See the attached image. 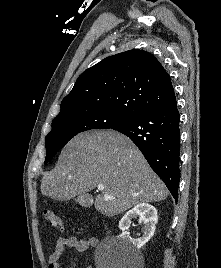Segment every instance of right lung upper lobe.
<instances>
[{
  "instance_id": "obj_1",
  "label": "right lung upper lobe",
  "mask_w": 221,
  "mask_h": 268,
  "mask_svg": "<svg viewBox=\"0 0 221 268\" xmlns=\"http://www.w3.org/2000/svg\"><path fill=\"white\" fill-rule=\"evenodd\" d=\"M174 101L170 77L158 60L146 51L129 50L85 70L58 115L105 109L132 119Z\"/></svg>"
}]
</instances>
